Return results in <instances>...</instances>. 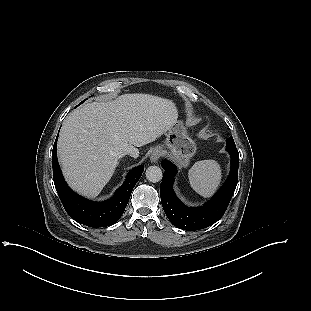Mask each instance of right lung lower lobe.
I'll list each match as a JSON object with an SVG mask.
<instances>
[{
  "mask_svg": "<svg viewBox=\"0 0 311 311\" xmlns=\"http://www.w3.org/2000/svg\"><path fill=\"white\" fill-rule=\"evenodd\" d=\"M57 138L53 146L52 167L55 188L60 200L71 218L89 227H105L114 224L123 214L131 192L142 175L143 166L133 168L125 183L115 195L105 202L89 201L72 191L61 173L56 152Z\"/></svg>",
  "mask_w": 311,
  "mask_h": 311,
  "instance_id": "98d812e1",
  "label": "right lung lower lobe"
}]
</instances>
